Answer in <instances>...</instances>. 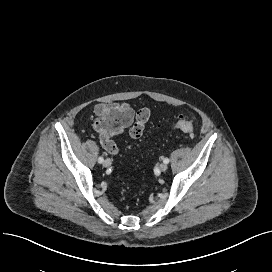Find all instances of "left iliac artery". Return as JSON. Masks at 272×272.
Segmentation results:
<instances>
[{"mask_svg": "<svg viewBox=\"0 0 272 272\" xmlns=\"http://www.w3.org/2000/svg\"><path fill=\"white\" fill-rule=\"evenodd\" d=\"M163 162L166 163V164H168L169 163V159L168 158H164Z\"/></svg>", "mask_w": 272, "mask_h": 272, "instance_id": "44dca946", "label": "left iliac artery"}]
</instances>
